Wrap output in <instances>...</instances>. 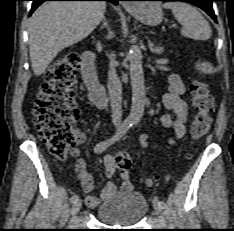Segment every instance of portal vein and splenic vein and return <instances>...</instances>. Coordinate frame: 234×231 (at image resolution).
Listing matches in <instances>:
<instances>
[{
    "instance_id": "portal-vein-and-splenic-vein-1",
    "label": "portal vein and splenic vein",
    "mask_w": 234,
    "mask_h": 231,
    "mask_svg": "<svg viewBox=\"0 0 234 231\" xmlns=\"http://www.w3.org/2000/svg\"><path fill=\"white\" fill-rule=\"evenodd\" d=\"M173 28H176V26H175V25H173Z\"/></svg>"
}]
</instances>
